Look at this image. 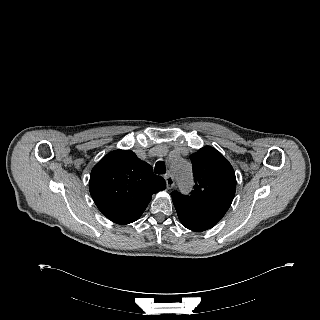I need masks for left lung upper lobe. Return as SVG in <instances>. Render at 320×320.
<instances>
[{"instance_id":"obj_1","label":"left lung upper lobe","mask_w":320,"mask_h":320,"mask_svg":"<svg viewBox=\"0 0 320 320\" xmlns=\"http://www.w3.org/2000/svg\"><path fill=\"white\" fill-rule=\"evenodd\" d=\"M190 159L193 165L194 190L186 196L174 191L171 193L172 197L225 214L236 191L233 167L211 146L199 149Z\"/></svg>"}]
</instances>
